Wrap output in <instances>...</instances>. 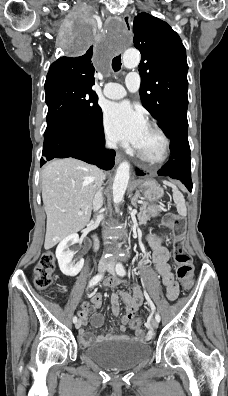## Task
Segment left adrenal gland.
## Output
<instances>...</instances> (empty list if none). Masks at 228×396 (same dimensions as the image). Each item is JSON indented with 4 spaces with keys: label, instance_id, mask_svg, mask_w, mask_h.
<instances>
[{
    "label": "left adrenal gland",
    "instance_id": "obj_1",
    "mask_svg": "<svg viewBox=\"0 0 228 396\" xmlns=\"http://www.w3.org/2000/svg\"><path fill=\"white\" fill-rule=\"evenodd\" d=\"M138 197H139V193L135 194L134 197H133L132 200H131L132 205H133L134 207H137V200H138Z\"/></svg>",
    "mask_w": 228,
    "mask_h": 396
}]
</instances>
